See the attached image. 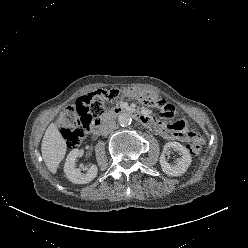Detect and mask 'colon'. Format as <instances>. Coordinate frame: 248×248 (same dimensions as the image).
<instances>
[{"mask_svg": "<svg viewBox=\"0 0 248 248\" xmlns=\"http://www.w3.org/2000/svg\"><path fill=\"white\" fill-rule=\"evenodd\" d=\"M125 93L132 94L140 99L142 103L157 108L160 112V117L165 121H171L175 117V107L150 92L111 89L109 91L85 94L80 96L73 106L64 109L58 117V124L61 127L68 148H77L85 133L90 130L93 122L106 112L105 100H113ZM188 149L192 155L200 154L202 151L201 140H193Z\"/></svg>", "mask_w": 248, "mask_h": 248, "instance_id": "obj_1", "label": "colon"}]
</instances>
